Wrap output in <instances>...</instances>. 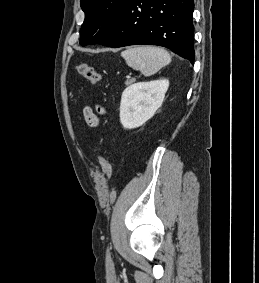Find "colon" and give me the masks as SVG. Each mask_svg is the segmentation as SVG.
Here are the masks:
<instances>
[{
	"label": "colon",
	"instance_id": "1",
	"mask_svg": "<svg viewBox=\"0 0 259 283\" xmlns=\"http://www.w3.org/2000/svg\"><path fill=\"white\" fill-rule=\"evenodd\" d=\"M75 71L77 74L80 76L84 77L88 81H90L92 84H97L101 81L102 77L96 69L87 64V63H78L75 66ZM100 164L102 166L104 175L107 179H109L112 175V165L111 162L109 161L108 157L105 155L100 156Z\"/></svg>",
	"mask_w": 259,
	"mask_h": 283
}]
</instances>
